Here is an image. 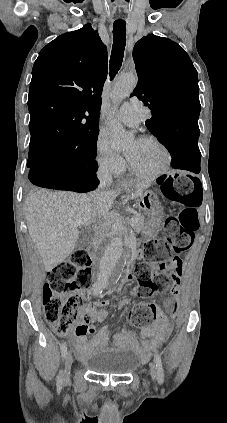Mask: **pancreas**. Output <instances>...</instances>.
Here are the masks:
<instances>
[{"label":"pancreas","mask_w":227,"mask_h":423,"mask_svg":"<svg viewBox=\"0 0 227 423\" xmlns=\"http://www.w3.org/2000/svg\"><path fill=\"white\" fill-rule=\"evenodd\" d=\"M132 217H136V221L134 225H132L133 231H141L144 227L145 217L142 213H135ZM97 233L99 235H105V237H110V235H114V233H123V235H127L129 231V227H125V225H117L114 221H107V219H102L98 225H96Z\"/></svg>","instance_id":"cf45deb5"}]
</instances>
